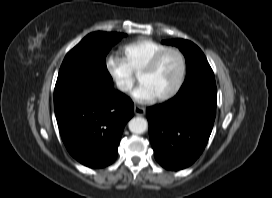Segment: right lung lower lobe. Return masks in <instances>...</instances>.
Listing matches in <instances>:
<instances>
[{
    "instance_id": "98d812e1",
    "label": "right lung lower lobe",
    "mask_w": 272,
    "mask_h": 198,
    "mask_svg": "<svg viewBox=\"0 0 272 198\" xmlns=\"http://www.w3.org/2000/svg\"><path fill=\"white\" fill-rule=\"evenodd\" d=\"M55 115L68 152L90 168L110 165L134 104L113 87L81 86L54 96Z\"/></svg>"
}]
</instances>
